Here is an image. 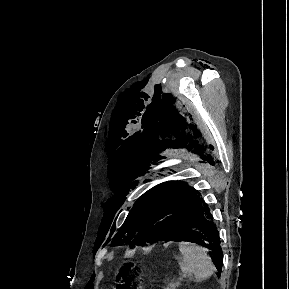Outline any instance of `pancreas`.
<instances>
[{"label": "pancreas", "mask_w": 289, "mask_h": 289, "mask_svg": "<svg viewBox=\"0 0 289 289\" xmlns=\"http://www.w3.org/2000/svg\"><path fill=\"white\" fill-rule=\"evenodd\" d=\"M179 286L178 283H170L164 287V289H177Z\"/></svg>", "instance_id": "obj_1"}]
</instances>
